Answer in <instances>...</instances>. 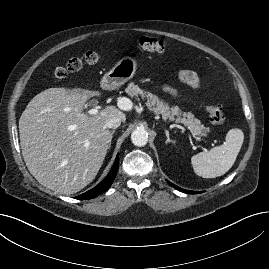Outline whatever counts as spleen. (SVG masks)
I'll list each match as a JSON object with an SVG mask.
<instances>
[{
  "label": "spleen",
  "mask_w": 269,
  "mask_h": 269,
  "mask_svg": "<svg viewBox=\"0 0 269 269\" xmlns=\"http://www.w3.org/2000/svg\"><path fill=\"white\" fill-rule=\"evenodd\" d=\"M243 141L244 134L241 129H230L223 145L192 156L191 162L195 173L203 178L224 175L235 163Z\"/></svg>",
  "instance_id": "obj_1"
}]
</instances>
